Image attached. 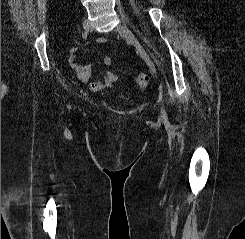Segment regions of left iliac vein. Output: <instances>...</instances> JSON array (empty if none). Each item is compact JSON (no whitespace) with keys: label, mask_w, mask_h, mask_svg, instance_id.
Segmentation results:
<instances>
[{"label":"left iliac vein","mask_w":245,"mask_h":239,"mask_svg":"<svg viewBox=\"0 0 245 239\" xmlns=\"http://www.w3.org/2000/svg\"><path fill=\"white\" fill-rule=\"evenodd\" d=\"M116 31L136 48L137 52L144 59V61L150 67L152 72L156 75V68H155V65H154L152 59L150 58L148 53L145 51L143 46L140 44L138 39L135 37L133 32L127 26H124L122 24H119L116 27Z\"/></svg>","instance_id":"left-iliac-vein-1"}]
</instances>
